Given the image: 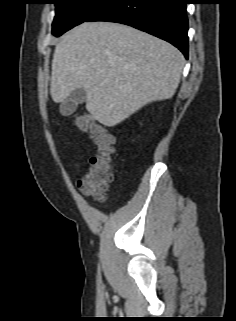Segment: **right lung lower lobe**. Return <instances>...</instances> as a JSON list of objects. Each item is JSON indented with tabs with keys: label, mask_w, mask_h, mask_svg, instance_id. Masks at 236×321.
<instances>
[{
	"label": "right lung lower lobe",
	"mask_w": 236,
	"mask_h": 321,
	"mask_svg": "<svg viewBox=\"0 0 236 321\" xmlns=\"http://www.w3.org/2000/svg\"><path fill=\"white\" fill-rule=\"evenodd\" d=\"M186 0H109L85 21L132 26L170 42L188 58Z\"/></svg>",
	"instance_id": "right-lung-lower-lobe-1"
}]
</instances>
